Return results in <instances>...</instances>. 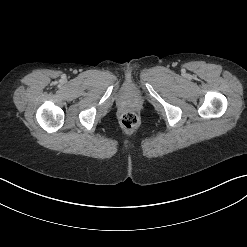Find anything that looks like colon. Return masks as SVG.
Here are the masks:
<instances>
[{
	"label": "colon",
	"instance_id": "5ec220e1",
	"mask_svg": "<svg viewBox=\"0 0 247 247\" xmlns=\"http://www.w3.org/2000/svg\"><path fill=\"white\" fill-rule=\"evenodd\" d=\"M120 122L125 129L131 130L138 126L139 118L133 111H127L121 116Z\"/></svg>",
	"mask_w": 247,
	"mask_h": 247
}]
</instances>
